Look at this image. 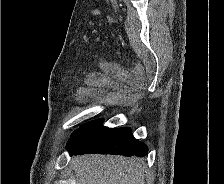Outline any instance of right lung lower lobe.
I'll return each instance as SVG.
<instances>
[{
  "label": "right lung lower lobe",
  "instance_id": "right-lung-lower-lobe-1",
  "mask_svg": "<svg viewBox=\"0 0 224 184\" xmlns=\"http://www.w3.org/2000/svg\"><path fill=\"white\" fill-rule=\"evenodd\" d=\"M68 151L70 155L100 153L144 157L148 154V147L134 138L129 127L108 128L100 125L77 143L69 145Z\"/></svg>",
  "mask_w": 224,
  "mask_h": 184
}]
</instances>
